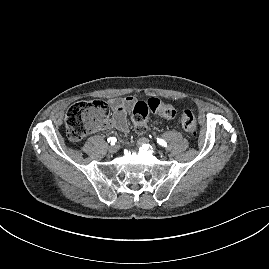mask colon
<instances>
[{
    "mask_svg": "<svg viewBox=\"0 0 269 269\" xmlns=\"http://www.w3.org/2000/svg\"><path fill=\"white\" fill-rule=\"evenodd\" d=\"M150 112H158L170 118L176 113L174 107L156 98L139 101L133 108V121L138 133L146 130V120ZM108 113L107 105L100 100L81 101L73 104L67 111L65 124L68 137L73 141L84 138L88 133L98 129L104 123ZM183 129L192 137L197 134V122L193 112L185 109L180 113Z\"/></svg>",
    "mask_w": 269,
    "mask_h": 269,
    "instance_id": "obj_1",
    "label": "colon"
}]
</instances>
